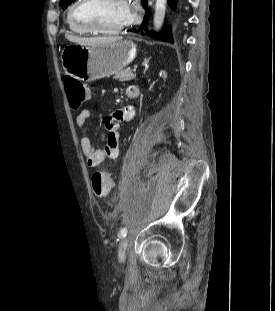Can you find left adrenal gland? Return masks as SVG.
<instances>
[{"instance_id": "1", "label": "left adrenal gland", "mask_w": 275, "mask_h": 311, "mask_svg": "<svg viewBox=\"0 0 275 311\" xmlns=\"http://www.w3.org/2000/svg\"><path fill=\"white\" fill-rule=\"evenodd\" d=\"M149 59L150 58H145L142 65L146 67V69L148 68V63H149Z\"/></svg>"}]
</instances>
